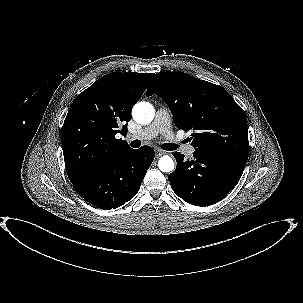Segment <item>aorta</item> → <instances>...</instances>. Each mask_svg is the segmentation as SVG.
<instances>
[{
    "label": "aorta",
    "mask_w": 303,
    "mask_h": 303,
    "mask_svg": "<svg viewBox=\"0 0 303 303\" xmlns=\"http://www.w3.org/2000/svg\"><path fill=\"white\" fill-rule=\"evenodd\" d=\"M132 115L137 123L146 125L153 121L155 111L150 103L140 102L133 107ZM158 167L162 172H171L174 170V161L168 155L162 156L158 161Z\"/></svg>",
    "instance_id": "obj_1"
}]
</instances>
